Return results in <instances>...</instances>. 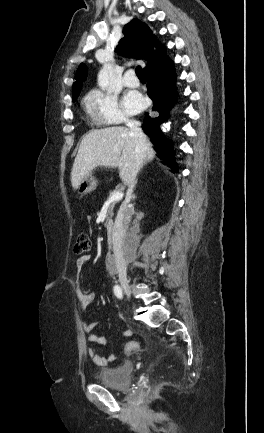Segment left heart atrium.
Segmentation results:
<instances>
[{"mask_svg": "<svg viewBox=\"0 0 264 433\" xmlns=\"http://www.w3.org/2000/svg\"><path fill=\"white\" fill-rule=\"evenodd\" d=\"M124 106L129 113H138L145 107V100L136 93L130 92L124 96Z\"/></svg>", "mask_w": 264, "mask_h": 433, "instance_id": "1", "label": "left heart atrium"}]
</instances>
